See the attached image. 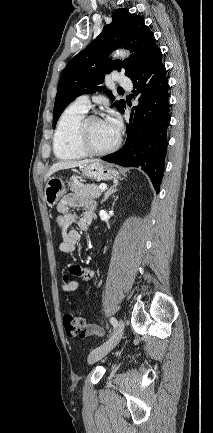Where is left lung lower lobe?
<instances>
[{
	"mask_svg": "<svg viewBox=\"0 0 213 433\" xmlns=\"http://www.w3.org/2000/svg\"><path fill=\"white\" fill-rule=\"evenodd\" d=\"M130 79L136 89L133 90V96H138L139 104L132 108L127 124V140L119 151L101 159L124 167H140L159 192L170 115L166 69L158 47ZM139 128L142 135L138 133Z\"/></svg>",
	"mask_w": 213,
	"mask_h": 433,
	"instance_id": "1",
	"label": "left lung lower lobe"
}]
</instances>
